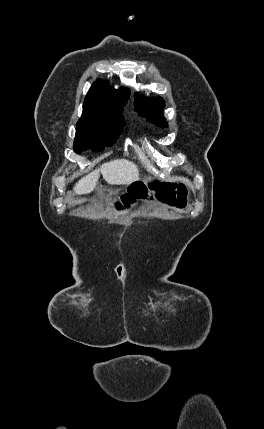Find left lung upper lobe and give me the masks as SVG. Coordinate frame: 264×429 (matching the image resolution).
Masks as SVG:
<instances>
[{
	"mask_svg": "<svg viewBox=\"0 0 264 429\" xmlns=\"http://www.w3.org/2000/svg\"><path fill=\"white\" fill-rule=\"evenodd\" d=\"M145 99L142 96L136 98L135 108L138 110L140 115L147 117L149 120L155 122L156 124L165 127L167 123L160 113V109L164 106V101L161 98H157L152 101L149 106V109L145 108Z\"/></svg>",
	"mask_w": 264,
	"mask_h": 429,
	"instance_id": "left-lung-upper-lobe-1",
	"label": "left lung upper lobe"
}]
</instances>
